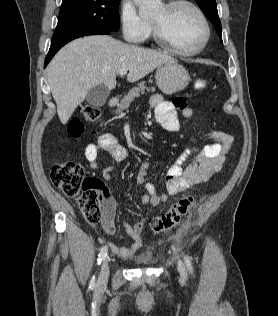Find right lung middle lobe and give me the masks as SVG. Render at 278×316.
I'll return each mask as SVG.
<instances>
[{"label": "right lung middle lobe", "mask_w": 278, "mask_h": 316, "mask_svg": "<svg viewBox=\"0 0 278 316\" xmlns=\"http://www.w3.org/2000/svg\"><path fill=\"white\" fill-rule=\"evenodd\" d=\"M120 0H63L52 44L81 33L119 30Z\"/></svg>", "instance_id": "obj_1"}]
</instances>
